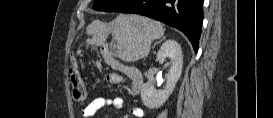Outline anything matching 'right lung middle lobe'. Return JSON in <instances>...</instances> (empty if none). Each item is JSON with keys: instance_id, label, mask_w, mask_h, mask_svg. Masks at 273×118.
I'll list each match as a JSON object with an SVG mask.
<instances>
[{"instance_id": "dd1d6c3e", "label": "right lung middle lobe", "mask_w": 273, "mask_h": 118, "mask_svg": "<svg viewBox=\"0 0 273 118\" xmlns=\"http://www.w3.org/2000/svg\"><path fill=\"white\" fill-rule=\"evenodd\" d=\"M130 0H95L93 9L104 12H116Z\"/></svg>"}]
</instances>
